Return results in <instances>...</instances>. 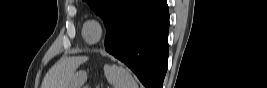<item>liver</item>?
Masks as SVG:
<instances>
[{
  "mask_svg": "<svg viewBox=\"0 0 267 88\" xmlns=\"http://www.w3.org/2000/svg\"><path fill=\"white\" fill-rule=\"evenodd\" d=\"M83 57H63L46 73L42 88H67Z\"/></svg>",
  "mask_w": 267,
  "mask_h": 88,
  "instance_id": "1",
  "label": "liver"
}]
</instances>
